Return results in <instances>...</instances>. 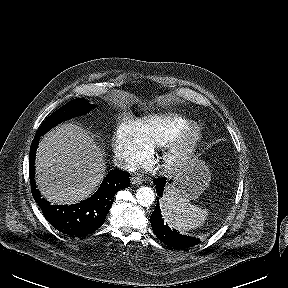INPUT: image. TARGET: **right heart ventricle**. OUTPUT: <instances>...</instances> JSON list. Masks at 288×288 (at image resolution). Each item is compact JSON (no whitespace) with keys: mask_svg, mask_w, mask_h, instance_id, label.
<instances>
[{"mask_svg":"<svg viewBox=\"0 0 288 288\" xmlns=\"http://www.w3.org/2000/svg\"><path fill=\"white\" fill-rule=\"evenodd\" d=\"M190 122V119L175 113L149 115L139 122L145 141L151 148L162 147L176 132Z\"/></svg>","mask_w":288,"mask_h":288,"instance_id":"right-heart-ventricle-1","label":"right heart ventricle"}]
</instances>
